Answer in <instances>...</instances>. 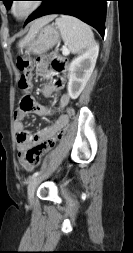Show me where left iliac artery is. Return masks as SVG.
I'll use <instances>...</instances> for the list:
<instances>
[{"mask_svg": "<svg viewBox=\"0 0 133 253\" xmlns=\"http://www.w3.org/2000/svg\"><path fill=\"white\" fill-rule=\"evenodd\" d=\"M39 175H40V172L37 171V172L33 173V175L30 177V179H33V178H35V177H37Z\"/></svg>", "mask_w": 133, "mask_h": 253, "instance_id": "obj_1", "label": "left iliac artery"}]
</instances>
